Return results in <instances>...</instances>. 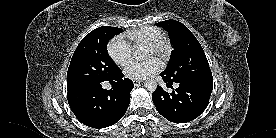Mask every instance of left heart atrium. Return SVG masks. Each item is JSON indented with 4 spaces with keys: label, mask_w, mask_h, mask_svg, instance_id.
I'll return each mask as SVG.
<instances>
[{
    "label": "left heart atrium",
    "mask_w": 276,
    "mask_h": 138,
    "mask_svg": "<svg viewBox=\"0 0 276 138\" xmlns=\"http://www.w3.org/2000/svg\"><path fill=\"white\" fill-rule=\"evenodd\" d=\"M161 68L160 62L153 58L147 61H130L124 68V73L131 79H144L156 73Z\"/></svg>",
    "instance_id": "obj_1"
}]
</instances>
